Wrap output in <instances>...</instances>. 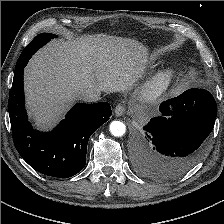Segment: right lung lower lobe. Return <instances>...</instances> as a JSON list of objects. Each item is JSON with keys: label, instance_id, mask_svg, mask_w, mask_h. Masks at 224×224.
I'll use <instances>...</instances> for the list:
<instances>
[{"label": "right lung lower lobe", "instance_id": "98d812e1", "mask_svg": "<svg viewBox=\"0 0 224 224\" xmlns=\"http://www.w3.org/2000/svg\"><path fill=\"white\" fill-rule=\"evenodd\" d=\"M32 55L18 59L9 95L8 110L14 145L21 157L47 176L67 178L86 164L90 136L112 114L107 102L77 103L51 132L34 130L24 107L23 73Z\"/></svg>", "mask_w": 224, "mask_h": 224}]
</instances>
